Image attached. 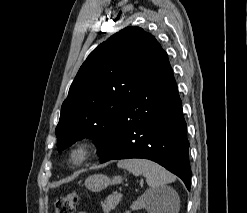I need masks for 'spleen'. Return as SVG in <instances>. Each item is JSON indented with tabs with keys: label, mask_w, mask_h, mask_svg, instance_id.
I'll return each instance as SVG.
<instances>
[{
	"label": "spleen",
	"mask_w": 247,
	"mask_h": 213,
	"mask_svg": "<svg viewBox=\"0 0 247 213\" xmlns=\"http://www.w3.org/2000/svg\"><path fill=\"white\" fill-rule=\"evenodd\" d=\"M117 166L123 168L134 174L135 176H144L147 184L152 191L157 190L159 187H165L166 184L174 182L175 176L168 172L162 166L144 159H128L121 160ZM171 206V213H177L179 209L178 198L173 196L171 201H168L166 206ZM169 208V207H168Z\"/></svg>",
	"instance_id": "3e777b00"
}]
</instances>
